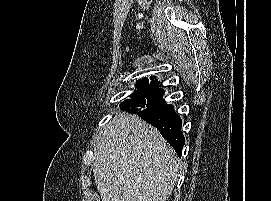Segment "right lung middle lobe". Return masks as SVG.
I'll return each instance as SVG.
<instances>
[{"label": "right lung middle lobe", "mask_w": 271, "mask_h": 201, "mask_svg": "<svg viewBox=\"0 0 271 201\" xmlns=\"http://www.w3.org/2000/svg\"><path fill=\"white\" fill-rule=\"evenodd\" d=\"M148 85H149V81L147 78L139 80V82L136 84L137 90L131 96L142 94L146 90Z\"/></svg>", "instance_id": "1"}]
</instances>
